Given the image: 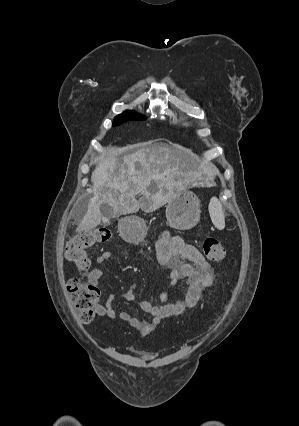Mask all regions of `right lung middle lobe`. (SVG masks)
Wrapping results in <instances>:
<instances>
[{
	"instance_id": "obj_1",
	"label": "right lung middle lobe",
	"mask_w": 299,
	"mask_h": 426,
	"mask_svg": "<svg viewBox=\"0 0 299 426\" xmlns=\"http://www.w3.org/2000/svg\"><path fill=\"white\" fill-rule=\"evenodd\" d=\"M145 117L136 113L135 111H126L115 117L113 126L121 125L128 120H144Z\"/></svg>"
}]
</instances>
